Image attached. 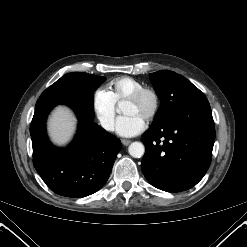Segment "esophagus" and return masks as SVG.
<instances>
[{"label": "esophagus", "instance_id": "esophagus-1", "mask_svg": "<svg viewBox=\"0 0 247 247\" xmlns=\"http://www.w3.org/2000/svg\"><path fill=\"white\" fill-rule=\"evenodd\" d=\"M130 143H131V140H127V139H123V140H122V144H123L124 146H128Z\"/></svg>", "mask_w": 247, "mask_h": 247}]
</instances>
